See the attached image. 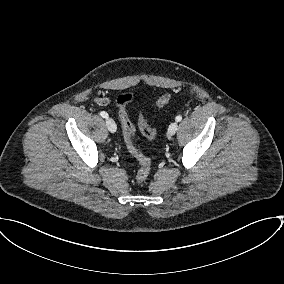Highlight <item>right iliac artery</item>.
<instances>
[{
  "mask_svg": "<svg viewBox=\"0 0 284 284\" xmlns=\"http://www.w3.org/2000/svg\"><path fill=\"white\" fill-rule=\"evenodd\" d=\"M100 116L103 118H108V114L105 111H101Z\"/></svg>",
  "mask_w": 284,
  "mask_h": 284,
  "instance_id": "obj_1",
  "label": "right iliac artery"
}]
</instances>
